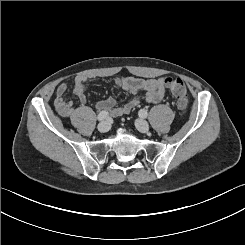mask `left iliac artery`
Instances as JSON below:
<instances>
[{"label":"left iliac artery","instance_id":"left-iliac-artery-1","mask_svg":"<svg viewBox=\"0 0 245 245\" xmlns=\"http://www.w3.org/2000/svg\"><path fill=\"white\" fill-rule=\"evenodd\" d=\"M147 115H148L147 110L141 109V110L139 111V116L146 118Z\"/></svg>","mask_w":245,"mask_h":245}]
</instances>
